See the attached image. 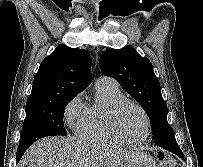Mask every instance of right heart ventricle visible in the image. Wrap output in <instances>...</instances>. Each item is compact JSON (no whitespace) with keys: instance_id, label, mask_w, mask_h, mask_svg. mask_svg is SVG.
Instances as JSON below:
<instances>
[{"instance_id":"1","label":"right heart ventricle","mask_w":203,"mask_h":167,"mask_svg":"<svg viewBox=\"0 0 203 167\" xmlns=\"http://www.w3.org/2000/svg\"><path fill=\"white\" fill-rule=\"evenodd\" d=\"M122 99L125 96L115 82L97 85L94 103L83 109L76 127L77 136L90 143L121 145L108 131L107 119Z\"/></svg>"}]
</instances>
